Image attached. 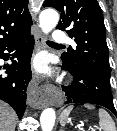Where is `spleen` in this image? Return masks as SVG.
<instances>
[{
    "mask_svg": "<svg viewBox=\"0 0 117 131\" xmlns=\"http://www.w3.org/2000/svg\"><path fill=\"white\" fill-rule=\"evenodd\" d=\"M84 106L88 109L95 108L93 105H90V104H85ZM72 109H73V106H68L67 108L63 110L60 116V124L62 126L66 124L67 119ZM98 114H99V126L103 131H116L115 122L113 121V119L111 118V116L106 110L100 109Z\"/></svg>",
    "mask_w": 117,
    "mask_h": 131,
    "instance_id": "obj_1",
    "label": "spleen"
}]
</instances>
